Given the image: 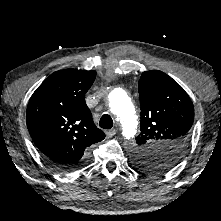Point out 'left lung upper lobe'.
Segmentation results:
<instances>
[{"label":"left lung upper lobe","mask_w":221,"mask_h":221,"mask_svg":"<svg viewBox=\"0 0 221 221\" xmlns=\"http://www.w3.org/2000/svg\"><path fill=\"white\" fill-rule=\"evenodd\" d=\"M138 86L141 133L133 158L139 168L160 174L174 167L189 145L193 104L176 81L158 70L143 72Z\"/></svg>","instance_id":"5c2ea615"}]
</instances>
